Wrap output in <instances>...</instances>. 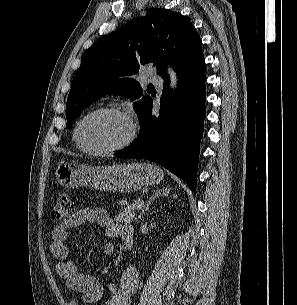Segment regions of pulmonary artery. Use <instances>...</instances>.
Listing matches in <instances>:
<instances>
[{
    "mask_svg": "<svg viewBox=\"0 0 297 305\" xmlns=\"http://www.w3.org/2000/svg\"><path fill=\"white\" fill-rule=\"evenodd\" d=\"M149 75H150L151 83L156 84V85L162 84V79L159 76H157L153 70L149 71Z\"/></svg>",
    "mask_w": 297,
    "mask_h": 305,
    "instance_id": "1",
    "label": "pulmonary artery"
}]
</instances>
